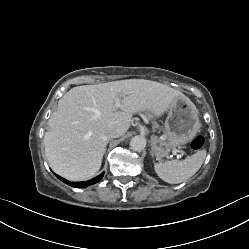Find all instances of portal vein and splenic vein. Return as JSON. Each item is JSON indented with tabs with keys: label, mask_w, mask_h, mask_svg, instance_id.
<instances>
[{
	"label": "portal vein and splenic vein",
	"mask_w": 249,
	"mask_h": 249,
	"mask_svg": "<svg viewBox=\"0 0 249 249\" xmlns=\"http://www.w3.org/2000/svg\"><path fill=\"white\" fill-rule=\"evenodd\" d=\"M115 106H116V107H120L119 98L116 99V101H115ZM176 152H177V151H175V153H176Z\"/></svg>",
	"instance_id": "portal-vein-and-splenic-vein-1"
}]
</instances>
